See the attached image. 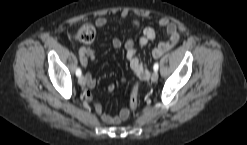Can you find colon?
<instances>
[{"mask_svg": "<svg viewBox=\"0 0 247 145\" xmlns=\"http://www.w3.org/2000/svg\"><path fill=\"white\" fill-rule=\"evenodd\" d=\"M95 37V28L92 24L87 23L82 25L76 35V38L84 43H90ZM138 86L135 84L131 91L130 96V108L132 111H135L138 108L139 99H138ZM128 117V115H127Z\"/></svg>", "mask_w": 247, "mask_h": 145, "instance_id": "obj_1", "label": "colon"}]
</instances>
